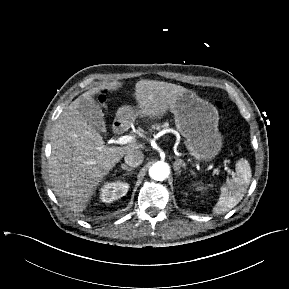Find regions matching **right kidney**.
I'll use <instances>...</instances> for the list:
<instances>
[{"label":"right kidney","mask_w":289,"mask_h":289,"mask_svg":"<svg viewBox=\"0 0 289 289\" xmlns=\"http://www.w3.org/2000/svg\"><path fill=\"white\" fill-rule=\"evenodd\" d=\"M129 185L120 180L115 182H107L103 185L100 192V199L102 202L111 203L128 192Z\"/></svg>","instance_id":"1"}]
</instances>
